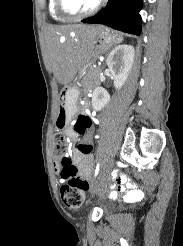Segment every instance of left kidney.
<instances>
[{
    "instance_id": "5707ae66",
    "label": "left kidney",
    "mask_w": 183,
    "mask_h": 246,
    "mask_svg": "<svg viewBox=\"0 0 183 246\" xmlns=\"http://www.w3.org/2000/svg\"><path fill=\"white\" fill-rule=\"evenodd\" d=\"M134 47L132 45H119L115 47L107 58V66L114 79V87L121 89L127 80L134 62ZM110 101V95L103 87H97L93 91L92 106L100 111Z\"/></svg>"
}]
</instances>
